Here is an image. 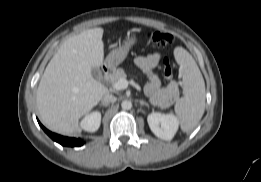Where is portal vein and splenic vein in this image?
I'll return each instance as SVG.
<instances>
[{
    "instance_id": "portal-vein-and-splenic-vein-1",
    "label": "portal vein and splenic vein",
    "mask_w": 261,
    "mask_h": 182,
    "mask_svg": "<svg viewBox=\"0 0 261 182\" xmlns=\"http://www.w3.org/2000/svg\"><path fill=\"white\" fill-rule=\"evenodd\" d=\"M128 84L129 82L126 79L122 78L113 84V88L116 90L126 89L128 87Z\"/></svg>"
}]
</instances>
